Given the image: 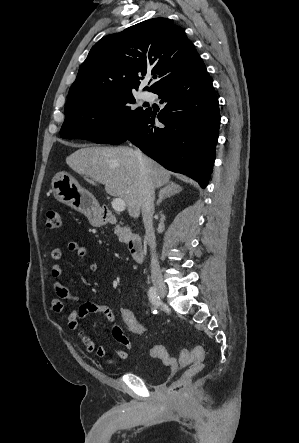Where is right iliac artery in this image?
<instances>
[{"label": "right iliac artery", "instance_id": "obj_1", "mask_svg": "<svg viewBox=\"0 0 299 443\" xmlns=\"http://www.w3.org/2000/svg\"><path fill=\"white\" fill-rule=\"evenodd\" d=\"M148 296H149L150 302L153 305L159 306V304H160V297H159L155 287H150V289L148 291Z\"/></svg>", "mask_w": 299, "mask_h": 443}]
</instances>
